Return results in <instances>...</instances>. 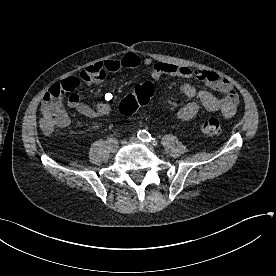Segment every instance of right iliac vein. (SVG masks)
I'll return each instance as SVG.
<instances>
[{
    "label": "right iliac vein",
    "instance_id": "right-iliac-vein-1",
    "mask_svg": "<svg viewBox=\"0 0 276 276\" xmlns=\"http://www.w3.org/2000/svg\"><path fill=\"white\" fill-rule=\"evenodd\" d=\"M118 147H119L118 143L117 144H108V148L112 153L116 152L118 150Z\"/></svg>",
    "mask_w": 276,
    "mask_h": 276
}]
</instances>
